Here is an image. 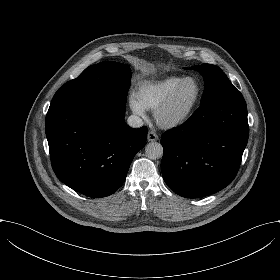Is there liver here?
<instances>
[{"mask_svg":"<svg viewBox=\"0 0 280 280\" xmlns=\"http://www.w3.org/2000/svg\"><path fill=\"white\" fill-rule=\"evenodd\" d=\"M164 66H165V63H164V62H159V63L156 64V68H157V69H161V68H163Z\"/></svg>","mask_w":280,"mask_h":280,"instance_id":"liver-1","label":"liver"}]
</instances>
